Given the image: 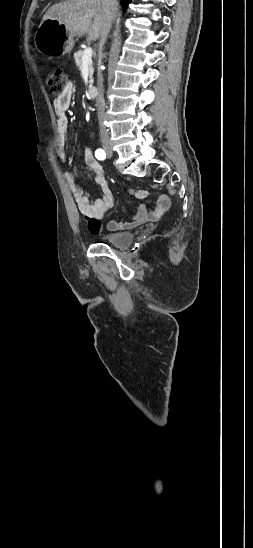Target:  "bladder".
I'll use <instances>...</instances> for the list:
<instances>
[{
	"mask_svg": "<svg viewBox=\"0 0 253 548\" xmlns=\"http://www.w3.org/2000/svg\"><path fill=\"white\" fill-rule=\"evenodd\" d=\"M134 239V233L132 232H113L102 235L99 240L103 243L124 248L129 246Z\"/></svg>",
	"mask_w": 253,
	"mask_h": 548,
	"instance_id": "31cf9c89",
	"label": "bladder"
}]
</instances>
